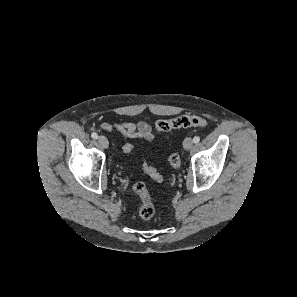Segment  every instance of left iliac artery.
Here are the masks:
<instances>
[{
	"label": "left iliac artery",
	"instance_id": "left-iliac-artery-1",
	"mask_svg": "<svg viewBox=\"0 0 297 297\" xmlns=\"http://www.w3.org/2000/svg\"><path fill=\"white\" fill-rule=\"evenodd\" d=\"M200 141V137L199 136H195L194 138H193V142L194 143H198Z\"/></svg>",
	"mask_w": 297,
	"mask_h": 297
}]
</instances>
